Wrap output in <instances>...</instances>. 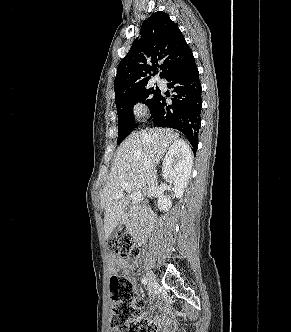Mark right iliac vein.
Masks as SVG:
<instances>
[{"mask_svg": "<svg viewBox=\"0 0 291 332\" xmlns=\"http://www.w3.org/2000/svg\"><path fill=\"white\" fill-rule=\"evenodd\" d=\"M147 282H148L149 292L153 293L157 287V281L154 273L151 271L147 273Z\"/></svg>", "mask_w": 291, "mask_h": 332, "instance_id": "obj_1", "label": "right iliac vein"}]
</instances>
